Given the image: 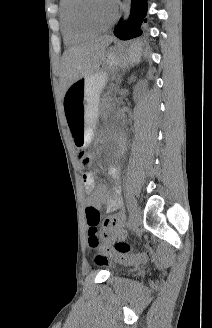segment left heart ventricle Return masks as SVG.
<instances>
[{"mask_svg":"<svg viewBox=\"0 0 212 328\" xmlns=\"http://www.w3.org/2000/svg\"><path fill=\"white\" fill-rule=\"evenodd\" d=\"M114 8L106 0H88L85 4L86 17L97 25L107 24L113 17Z\"/></svg>","mask_w":212,"mask_h":328,"instance_id":"left-heart-ventricle-1","label":"left heart ventricle"}]
</instances>
